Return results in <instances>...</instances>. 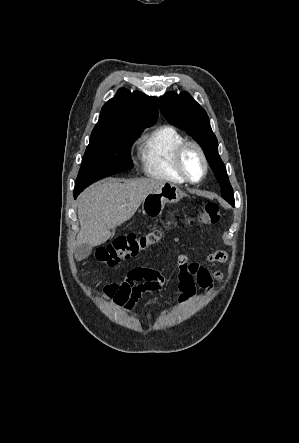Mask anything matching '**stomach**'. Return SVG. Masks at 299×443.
<instances>
[{
  "label": "stomach",
  "instance_id": "0dacf381",
  "mask_svg": "<svg viewBox=\"0 0 299 443\" xmlns=\"http://www.w3.org/2000/svg\"><path fill=\"white\" fill-rule=\"evenodd\" d=\"M183 196V192L176 185L165 183L146 196L142 211L150 217H157L161 215L166 203H176Z\"/></svg>",
  "mask_w": 299,
  "mask_h": 443
}]
</instances>
